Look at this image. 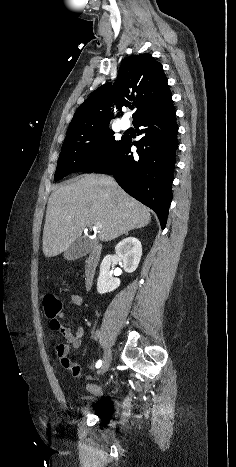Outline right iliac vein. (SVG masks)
<instances>
[{
    "mask_svg": "<svg viewBox=\"0 0 236 467\" xmlns=\"http://www.w3.org/2000/svg\"><path fill=\"white\" fill-rule=\"evenodd\" d=\"M111 360H112V354L111 350L107 349L104 355V359L101 365V368L99 370V374H104L105 372L108 371L110 365H111Z\"/></svg>",
    "mask_w": 236,
    "mask_h": 467,
    "instance_id": "1",
    "label": "right iliac vein"
}]
</instances>
